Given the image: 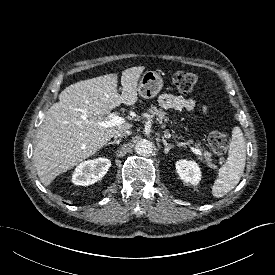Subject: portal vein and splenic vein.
Wrapping results in <instances>:
<instances>
[{"label": "portal vein and splenic vein", "mask_w": 275, "mask_h": 275, "mask_svg": "<svg viewBox=\"0 0 275 275\" xmlns=\"http://www.w3.org/2000/svg\"><path fill=\"white\" fill-rule=\"evenodd\" d=\"M109 118L110 119H106L105 121L101 122L100 124L103 127H112V126H115V125L123 124L125 122V119L120 117L119 115L112 114V115L109 116ZM189 148L195 154L200 155V156L202 155L201 151L194 148L193 146H189Z\"/></svg>", "instance_id": "1"}]
</instances>
